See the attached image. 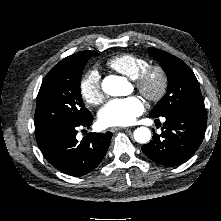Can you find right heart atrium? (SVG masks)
Masks as SVG:
<instances>
[{"instance_id":"d8ad5b80","label":"right heart atrium","mask_w":221,"mask_h":221,"mask_svg":"<svg viewBox=\"0 0 221 221\" xmlns=\"http://www.w3.org/2000/svg\"><path fill=\"white\" fill-rule=\"evenodd\" d=\"M79 89L83 100L89 105H98L104 99L100 74L96 69H91L84 74Z\"/></svg>"}]
</instances>
